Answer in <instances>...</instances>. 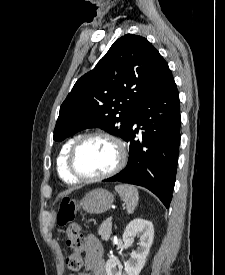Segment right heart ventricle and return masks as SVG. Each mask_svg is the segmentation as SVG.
<instances>
[{"label":"right heart ventricle","instance_id":"1","mask_svg":"<svg viewBox=\"0 0 225 275\" xmlns=\"http://www.w3.org/2000/svg\"><path fill=\"white\" fill-rule=\"evenodd\" d=\"M77 139V137H73L66 141L63 146L60 149V152L58 154L57 160H56V167L59 177L62 181L66 183H74L77 180L74 179L71 174L69 173L67 169V156L68 152L74 143V141Z\"/></svg>","mask_w":225,"mask_h":275}]
</instances>
